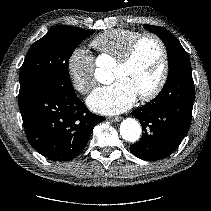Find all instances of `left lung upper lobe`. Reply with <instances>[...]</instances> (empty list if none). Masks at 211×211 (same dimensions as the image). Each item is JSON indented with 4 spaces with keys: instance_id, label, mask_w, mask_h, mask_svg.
I'll return each instance as SVG.
<instances>
[{
    "instance_id": "left-lung-upper-lobe-1",
    "label": "left lung upper lobe",
    "mask_w": 211,
    "mask_h": 211,
    "mask_svg": "<svg viewBox=\"0 0 211 211\" xmlns=\"http://www.w3.org/2000/svg\"><path fill=\"white\" fill-rule=\"evenodd\" d=\"M144 27L157 34L165 43L168 56L169 74L179 68L191 66L188 54L172 33L163 27L153 25H144Z\"/></svg>"
}]
</instances>
